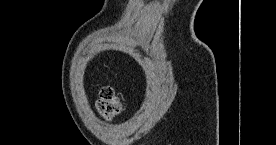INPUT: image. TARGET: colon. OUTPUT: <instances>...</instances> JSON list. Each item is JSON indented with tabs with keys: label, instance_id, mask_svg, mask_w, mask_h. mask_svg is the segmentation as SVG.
Instances as JSON below:
<instances>
[{
	"label": "colon",
	"instance_id": "5ec220e1",
	"mask_svg": "<svg viewBox=\"0 0 276 145\" xmlns=\"http://www.w3.org/2000/svg\"><path fill=\"white\" fill-rule=\"evenodd\" d=\"M122 107V101L112 87L105 86L100 90L97 109L105 119H114L121 112Z\"/></svg>",
	"mask_w": 276,
	"mask_h": 145
}]
</instances>
